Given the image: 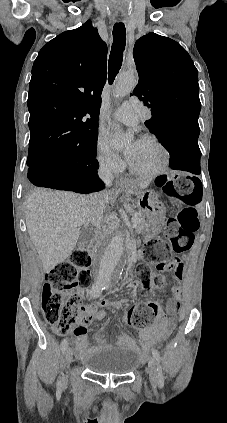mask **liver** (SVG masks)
<instances>
[{
    "mask_svg": "<svg viewBox=\"0 0 227 423\" xmlns=\"http://www.w3.org/2000/svg\"><path fill=\"white\" fill-rule=\"evenodd\" d=\"M134 184L138 190L149 186V182ZM118 194L119 190H107L80 196L44 188L29 192L23 204L26 227L46 273L72 253L81 225H88L94 219L99 225L104 221L103 211L110 208Z\"/></svg>",
    "mask_w": 227,
    "mask_h": 423,
    "instance_id": "1",
    "label": "liver"
}]
</instances>
